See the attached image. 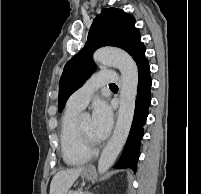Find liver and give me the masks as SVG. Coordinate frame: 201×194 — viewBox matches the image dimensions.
Returning a JSON list of instances; mask_svg holds the SVG:
<instances>
[{"label": "liver", "mask_w": 201, "mask_h": 194, "mask_svg": "<svg viewBox=\"0 0 201 194\" xmlns=\"http://www.w3.org/2000/svg\"><path fill=\"white\" fill-rule=\"evenodd\" d=\"M85 167L66 169L57 172L50 184V194H67Z\"/></svg>", "instance_id": "obj_1"}]
</instances>
